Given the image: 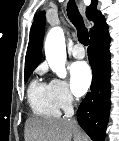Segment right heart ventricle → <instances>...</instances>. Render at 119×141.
<instances>
[{
  "label": "right heart ventricle",
  "instance_id": "obj_1",
  "mask_svg": "<svg viewBox=\"0 0 119 141\" xmlns=\"http://www.w3.org/2000/svg\"><path fill=\"white\" fill-rule=\"evenodd\" d=\"M28 101L39 116L55 118L60 115V107L48 83L33 80L28 88Z\"/></svg>",
  "mask_w": 119,
  "mask_h": 141
}]
</instances>
